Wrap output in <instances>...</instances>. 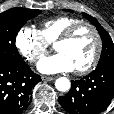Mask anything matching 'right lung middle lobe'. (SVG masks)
<instances>
[{
	"mask_svg": "<svg viewBox=\"0 0 114 114\" xmlns=\"http://www.w3.org/2000/svg\"><path fill=\"white\" fill-rule=\"evenodd\" d=\"M40 13L37 9L13 8L0 14V64L24 61L15 46L16 36L28 19Z\"/></svg>",
	"mask_w": 114,
	"mask_h": 114,
	"instance_id": "1",
	"label": "right lung middle lobe"
}]
</instances>
